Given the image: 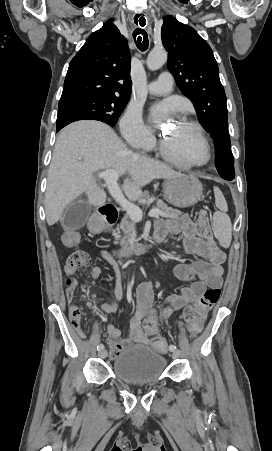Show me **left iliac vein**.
I'll list each match as a JSON object with an SVG mask.
<instances>
[{
    "instance_id": "4c4485c4",
    "label": "left iliac vein",
    "mask_w": 272,
    "mask_h": 451,
    "mask_svg": "<svg viewBox=\"0 0 272 451\" xmlns=\"http://www.w3.org/2000/svg\"><path fill=\"white\" fill-rule=\"evenodd\" d=\"M179 357V351H175L172 355L173 359H177Z\"/></svg>"
}]
</instances>
